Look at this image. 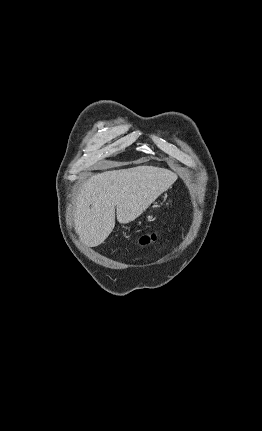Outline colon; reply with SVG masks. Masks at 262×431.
<instances>
[{"label": "colon", "instance_id": "1", "mask_svg": "<svg viewBox=\"0 0 262 431\" xmlns=\"http://www.w3.org/2000/svg\"><path fill=\"white\" fill-rule=\"evenodd\" d=\"M157 237H158L157 234L152 233V234L143 236L140 241L142 244H149V243L155 242L157 240Z\"/></svg>", "mask_w": 262, "mask_h": 431}]
</instances>
